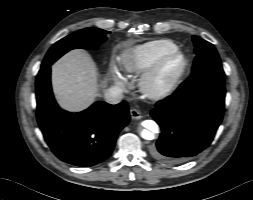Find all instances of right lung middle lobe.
<instances>
[{"label": "right lung middle lobe", "instance_id": "right-lung-middle-lobe-1", "mask_svg": "<svg viewBox=\"0 0 253 200\" xmlns=\"http://www.w3.org/2000/svg\"><path fill=\"white\" fill-rule=\"evenodd\" d=\"M105 40V30L97 28L81 29L56 42L47 52L41 66L53 64L59 57L71 49H95Z\"/></svg>", "mask_w": 253, "mask_h": 200}]
</instances>
